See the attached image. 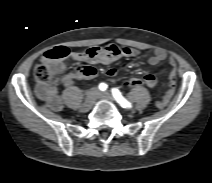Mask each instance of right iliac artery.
<instances>
[{
    "mask_svg": "<svg viewBox=\"0 0 212 183\" xmlns=\"http://www.w3.org/2000/svg\"><path fill=\"white\" fill-rule=\"evenodd\" d=\"M99 89H100L101 91H105V90L107 89V85H106L105 83H100V84H99Z\"/></svg>",
    "mask_w": 212,
    "mask_h": 183,
    "instance_id": "1",
    "label": "right iliac artery"
}]
</instances>
